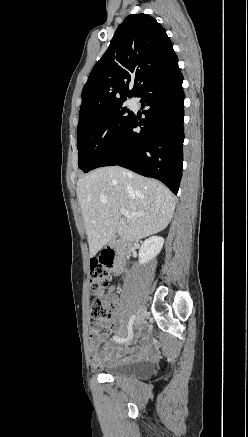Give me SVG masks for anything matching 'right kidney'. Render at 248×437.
<instances>
[{
  "label": "right kidney",
  "mask_w": 248,
  "mask_h": 437,
  "mask_svg": "<svg viewBox=\"0 0 248 437\" xmlns=\"http://www.w3.org/2000/svg\"><path fill=\"white\" fill-rule=\"evenodd\" d=\"M164 239L160 236H152L146 239L139 250V264H146L154 259L161 251Z\"/></svg>",
  "instance_id": "1"
}]
</instances>
